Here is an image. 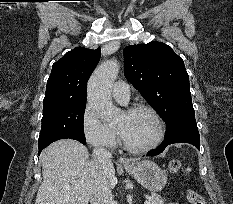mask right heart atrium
I'll use <instances>...</instances> for the list:
<instances>
[{
    "mask_svg": "<svg viewBox=\"0 0 233 204\" xmlns=\"http://www.w3.org/2000/svg\"><path fill=\"white\" fill-rule=\"evenodd\" d=\"M82 133L93 147L113 148L117 144V133L114 128L101 120L95 109L87 104L81 117Z\"/></svg>",
    "mask_w": 233,
    "mask_h": 204,
    "instance_id": "1",
    "label": "right heart atrium"
}]
</instances>
